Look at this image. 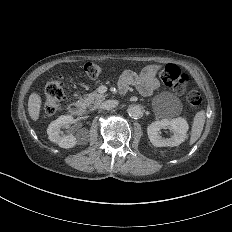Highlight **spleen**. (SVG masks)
I'll list each match as a JSON object with an SVG mask.
<instances>
[{
    "instance_id": "3e777b00",
    "label": "spleen",
    "mask_w": 232,
    "mask_h": 232,
    "mask_svg": "<svg viewBox=\"0 0 232 232\" xmlns=\"http://www.w3.org/2000/svg\"><path fill=\"white\" fill-rule=\"evenodd\" d=\"M205 122V115L203 112L198 113L195 116L194 124L192 128L191 143H194L201 135L203 125Z\"/></svg>"
}]
</instances>
